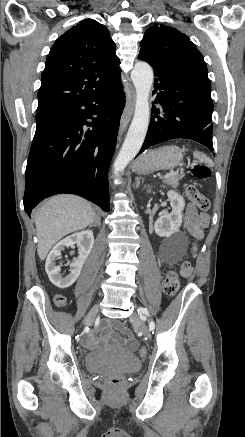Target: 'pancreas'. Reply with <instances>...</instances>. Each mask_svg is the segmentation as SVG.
<instances>
[{
  "label": "pancreas",
  "instance_id": "obj_1",
  "mask_svg": "<svg viewBox=\"0 0 245 437\" xmlns=\"http://www.w3.org/2000/svg\"><path fill=\"white\" fill-rule=\"evenodd\" d=\"M183 178V175L174 174L169 177L164 178L163 182L169 186L177 187L179 185V180Z\"/></svg>",
  "mask_w": 245,
  "mask_h": 437
}]
</instances>
